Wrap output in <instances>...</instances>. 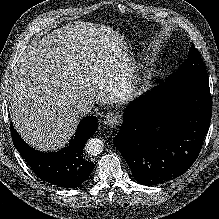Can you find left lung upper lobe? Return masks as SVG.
I'll return each mask as SVG.
<instances>
[{
  "instance_id": "obj_1",
  "label": "left lung upper lobe",
  "mask_w": 219,
  "mask_h": 219,
  "mask_svg": "<svg viewBox=\"0 0 219 219\" xmlns=\"http://www.w3.org/2000/svg\"><path fill=\"white\" fill-rule=\"evenodd\" d=\"M181 77L208 78L205 64L201 58V55L193 45L190 48L189 57L178 68V71L171 76V79Z\"/></svg>"
}]
</instances>
